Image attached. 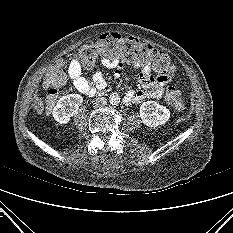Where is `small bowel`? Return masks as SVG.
<instances>
[{
	"mask_svg": "<svg viewBox=\"0 0 233 233\" xmlns=\"http://www.w3.org/2000/svg\"><path fill=\"white\" fill-rule=\"evenodd\" d=\"M101 63L104 67L114 70L116 78L120 76L125 65H130L135 69H139L140 72L137 78L144 89L128 91L124 98L126 104H139L148 98H161L165 86L174 78L173 73L159 72L151 62H128L119 57H109L102 54ZM154 70L157 72L156 74L153 73ZM68 76L73 86L79 92L88 96H92L98 90H102L106 87V81L100 71L94 72L91 78L84 77L82 75L80 62L76 57L68 66Z\"/></svg>",
	"mask_w": 233,
	"mask_h": 233,
	"instance_id": "c3829d8e",
	"label": "small bowel"
}]
</instances>
